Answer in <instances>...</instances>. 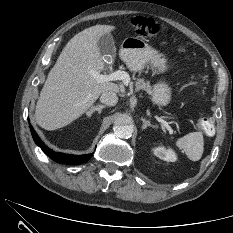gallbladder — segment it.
Returning <instances> with one entry per match:
<instances>
[{"label": "gallbladder", "instance_id": "1", "mask_svg": "<svg viewBox=\"0 0 233 233\" xmlns=\"http://www.w3.org/2000/svg\"><path fill=\"white\" fill-rule=\"evenodd\" d=\"M98 48L101 55L105 57L114 56L116 48L113 36L110 33L103 34L98 41Z\"/></svg>", "mask_w": 233, "mask_h": 233}]
</instances>
